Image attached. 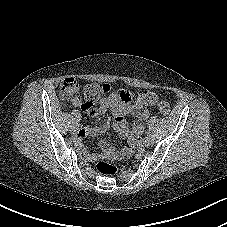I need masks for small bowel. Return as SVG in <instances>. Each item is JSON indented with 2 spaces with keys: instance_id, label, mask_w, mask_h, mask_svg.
<instances>
[{
  "instance_id": "small-bowel-1",
  "label": "small bowel",
  "mask_w": 227,
  "mask_h": 227,
  "mask_svg": "<svg viewBox=\"0 0 227 227\" xmlns=\"http://www.w3.org/2000/svg\"><path fill=\"white\" fill-rule=\"evenodd\" d=\"M129 96H131L129 92L121 90L108 96L99 97L94 101H84L81 97H77L73 100V103L92 117H97L110 111L114 116V129L128 141L130 146H133L144 130V121L148 118L149 112L138 99L131 102ZM127 115H133L135 118L131 132H129L125 120ZM108 129V123L99 126H87L78 131V137L99 135ZM101 146L106 157H112L115 154L113 148L109 147L106 141H103ZM128 152L129 149L126 148L120 154L123 155ZM90 158L94 159L95 156L90 155Z\"/></svg>"
}]
</instances>
